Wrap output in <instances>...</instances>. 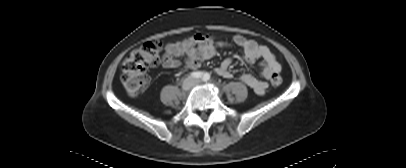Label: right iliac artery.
<instances>
[{
	"label": "right iliac artery",
	"instance_id": "right-iliac-artery-1",
	"mask_svg": "<svg viewBox=\"0 0 406 168\" xmlns=\"http://www.w3.org/2000/svg\"><path fill=\"white\" fill-rule=\"evenodd\" d=\"M190 76L193 77V78H201L203 76V72L195 71V72H192L190 74Z\"/></svg>",
	"mask_w": 406,
	"mask_h": 168
}]
</instances>
